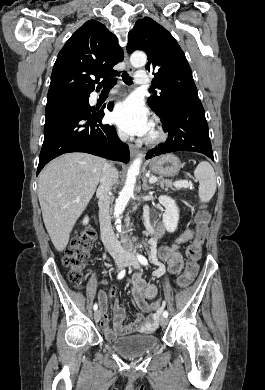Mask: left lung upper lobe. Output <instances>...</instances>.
I'll return each mask as SVG.
<instances>
[{"label": "left lung upper lobe", "instance_id": "1", "mask_svg": "<svg viewBox=\"0 0 265 390\" xmlns=\"http://www.w3.org/2000/svg\"><path fill=\"white\" fill-rule=\"evenodd\" d=\"M143 50L148 55L145 68L152 71L161 93L148 98L150 108L165 118L176 101L199 99L191 68L175 38L149 17L138 20L128 34V53Z\"/></svg>", "mask_w": 265, "mask_h": 390}]
</instances>
